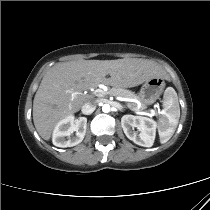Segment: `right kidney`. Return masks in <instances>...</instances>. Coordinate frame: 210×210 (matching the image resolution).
<instances>
[{"mask_svg":"<svg viewBox=\"0 0 210 210\" xmlns=\"http://www.w3.org/2000/svg\"><path fill=\"white\" fill-rule=\"evenodd\" d=\"M87 127V118L74 119L69 115L57 123L54 128L52 142L55 146L65 148L78 145L84 139ZM76 132L75 136L70 135Z\"/></svg>","mask_w":210,"mask_h":210,"instance_id":"right-kidney-1","label":"right kidney"}]
</instances>
